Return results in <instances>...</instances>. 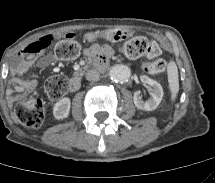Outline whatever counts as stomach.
I'll return each instance as SVG.
<instances>
[{"label": "stomach", "instance_id": "stomach-1", "mask_svg": "<svg viewBox=\"0 0 215 183\" xmlns=\"http://www.w3.org/2000/svg\"><path fill=\"white\" fill-rule=\"evenodd\" d=\"M133 33L124 29H110L101 33H97L93 38L103 37L112 43H118L132 37Z\"/></svg>", "mask_w": 215, "mask_h": 183}]
</instances>
